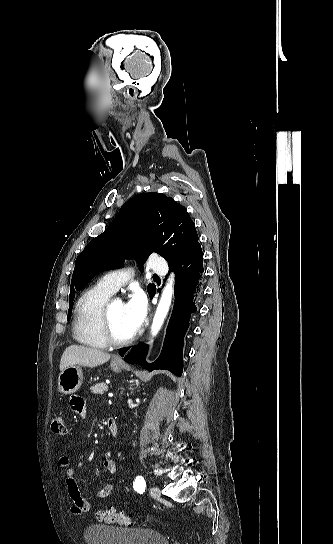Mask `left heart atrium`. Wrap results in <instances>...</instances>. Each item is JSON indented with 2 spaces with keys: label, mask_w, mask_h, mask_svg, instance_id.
Wrapping results in <instances>:
<instances>
[{
  "label": "left heart atrium",
  "mask_w": 333,
  "mask_h": 544,
  "mask_svg": "<svg viewBox=\"0 0 333 544\" xmlns=\"http://www.w3.org/2000/svg\"><path fill=\"white\" fill-rule=\"evenodd\" d=\"M125 313L134 332L142 326L147 314V300L143 292L135 291L125 303Z\"/></svg>",
  "instance_id": "obj_1"
}]
</instances>
